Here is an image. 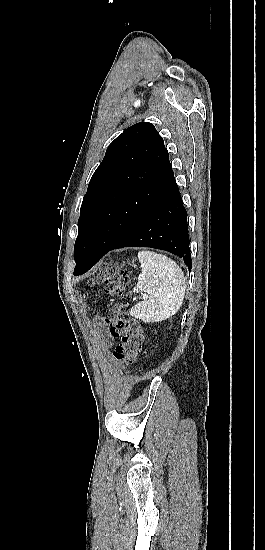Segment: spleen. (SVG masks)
<instances>
[{
	"mask_svg": "<svg viewBox=\"0 0 265 550\" xmlns=\"http://www.w3.org/2000/svg\"><path fill=\"white\" fill-rule=\"evenodd\" d=\"M142 272L133 292L149 296L138 302L130 315L144 322H159L174 315L182 306L185 296V277L175 261L165 255L143 250L138 253Z\"/></svg>",
	"mask_w": 265,
	"mask_h": 550,
	"instance_id": "spleen-1",
	"label": "spleen"
}]
</instances>
